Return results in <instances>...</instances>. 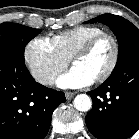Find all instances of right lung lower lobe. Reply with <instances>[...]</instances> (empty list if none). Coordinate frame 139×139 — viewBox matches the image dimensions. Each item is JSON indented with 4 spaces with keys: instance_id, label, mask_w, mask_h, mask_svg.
I'll use <instances>...</instances> for the list:
<instances>
[{
    "instance_id": "obj_1",
    "label": "right lung lower lobe",
    "mask_w": 139,
    "mask_h": 139,
    "mask_svg": "<svg viewBox=\"0 0 139 139\" xmlns=\"http://www.w3.org/2000/svg\"><path fill=\"white\" fill-rule=\"evenodd\" d=\"M64 93L37 83L25 60L0 54V139H43Z\"/></svg>"
}]
</instances>
